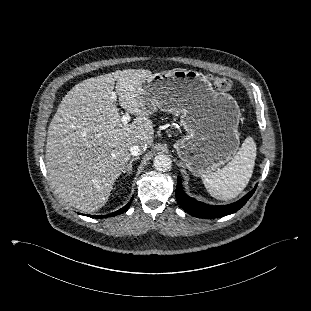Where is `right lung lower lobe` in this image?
<instances>
[{
    "instance_id": "obj_1",
    "label": "right lung lower lobe",
    "mask_w": 311,
    "mask_h": 311,
    "mask_svg": "<svg viewBox=\"0 0 311 311\" xmlns=\"http://www.w3.org/2000/svg\"><path fill=\"white\" fill-rule=\"evenodd\" d=\"M131 201H132V199H131ZM131 201L126 205V206H124L123 208H121L120 210H118V211H116V212H113V213H111V214H108V215H101V216H99V215H89V217H92V218H102V217H113V216H116V215H118V214H121V213H123V212H125L128 208H129V206H130V204H131Z\"/></svg>"
}]
</instances>
